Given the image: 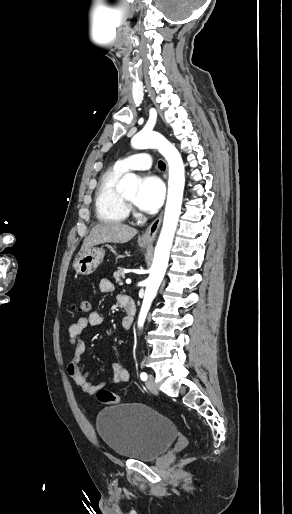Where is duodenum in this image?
<instances>
[{
  "mask_svg": "<svg viewBox=\"0 0 292 514\" xmlns=\"http://www.w3.org/2000/svg\"><path fill=\"white\" fill-rule=\"evenodd\" d=\"M120 306L127 312L124 319L123 329L129 331L132 326L133 317L135 315V302L129 295H120L118 297Z\"/></svg>",
  "mask_w": 292,
  "mask_h": 514,
  "instance_id": "410a0bca",
  "label": "duodenum"
}]
</instances>
